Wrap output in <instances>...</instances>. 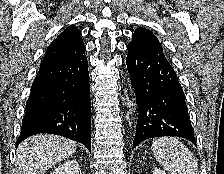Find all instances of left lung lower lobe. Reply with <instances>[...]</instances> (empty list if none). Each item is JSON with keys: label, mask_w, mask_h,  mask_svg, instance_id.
<instances>
[{"label": "left lung lower lobe", "mask_w": 224, "mask_h": 174, "mask_svg": "<svg viewBox=\"0 0 224 174\" xmlns=\"http://www.w3.org/2000/svg\"><path fill=\"white\" fill-rule=\"evenodd\" d=\"M127 50L139 113L133 149L146 139L162 136L183 137L195 144L183 89L162 49L127 46Z\"/></svg>", "instance_id": "left-lung-lower-lobe-1"}]
</instances>
